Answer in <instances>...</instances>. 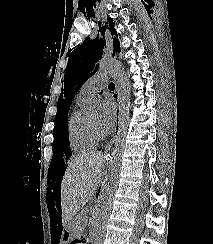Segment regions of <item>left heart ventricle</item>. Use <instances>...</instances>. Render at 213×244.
I'll return each instance as SVG.
<instances>
[{
	"mask_svg": "<svg viewBox=\"0 0 213 244\" xmlns=\"http://www.w3.org/2000/svg\"><path fill=\"white\" fill-rule=\"evenodd\" d=\"M91 121L98 126L101 125V117L100 116H96V117L91 118Z\"/></svg>",
	"mask_w": 213,
	"mask_h": 244,
	"instance_id": "left-heart-ventricle-1",
	"label": "left heart ventricle"
}]
</instances>
